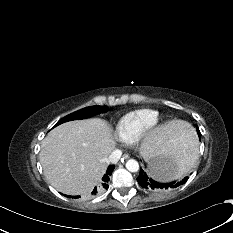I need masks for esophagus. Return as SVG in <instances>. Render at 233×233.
<instances>
[{
  "label": "esophagus",
  "mask_w": 233,
  "mask_h": 233,
  "mask_svg": "<svg viewBox=\"0 0 233 233\" xmlns=\"http://www.w3.org/2000/svg\"><path fill=\"white\" fill-rule=\"evenodd\" d=\"M129 157H130V156H129L128 154H124V155H123V159H129Z\"/></svg>",
  "instance_id": "esophagus-1"
}]
</instances>
